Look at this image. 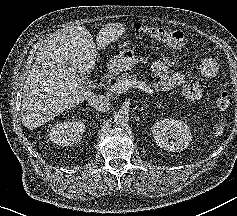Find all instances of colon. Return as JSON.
<instances>
[{
    "label": "colon",
    "mask_w": 237,
    "mask_h": 216,
    "mask_svg": "<svg viewBox=\"0 0 237 216\" xmlns=\"http://www.w3.org/2000/svg\"><path fill=\"white\" fill-rule=\"evenodd\" d=\"M134 29L137 33L148 35L176 49L185 48L188 44V37L180 31H166L161 28L148 27L140 23L135 24ZM216 106L220 110H226L230 106V99L226 92H222L217 97Z\"/></svg>",
    "instance_id": "5ec220e1"
}]
</instances>
